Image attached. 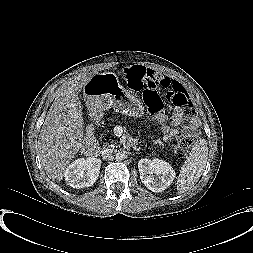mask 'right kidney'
I'll return each instance as SVG.
<instances>
[{
	"label": "right kidney",
	"mask_w": 253,
	"mask_h": 253,
	"mask_svg": "<svg viewBox=\"0 0 253 253\" xmlns=\"http://www.w3.org/2000/svg\"><path fill=\"white\" fill-rule=\"evenodd\" d=\"M101 163L95 157L76 159L64 171L66 183L77 189L92 186L99 177Z\"/></svg>",
	"instance_id": "1"
}]
</instances>
